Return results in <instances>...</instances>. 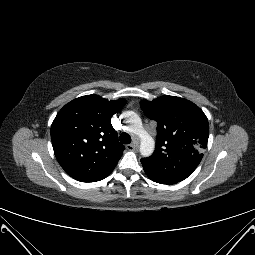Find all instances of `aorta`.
Returning a JSON list of instances; mask_svg holds the SVG:
<instances>
[{
    "instance_id": "aorta-1",
    "label": "aorta",
    "mask_w": 255,
    "mask_h": 255,
    "mask_svg": "<svg viewBox=\"0 0 255 255\" xmlns=\"http://www.w3.org/2000/svg\"><path fill=\"white\" fill-rule=\"evenodd\" d=\"M123 119L128 123V130L140 139V153L144 157L150 156L155 149V141L143 128L140 117L132 111L123 113Z\"/></svg>"
}]
</instances>
